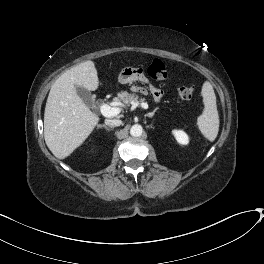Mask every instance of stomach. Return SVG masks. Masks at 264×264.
Instances as JSON below:
<instances>
[{
	"label": "stomach",
	"mask_w": 264,
	"mask_h": 264,
	"mask_svg": "<svg viewBox=\"0 0 264 264\" xmlns=\"http://www.w3.org/2000/svg\"><path fill=\"white\" fill-rule=\"evenodd\" d=\"M143 78L142 70L131 66L124 67L118 76V81L121 84H132Z\"/></svg>",
	"instance_id": "stomach-1"
}]
</instances>
